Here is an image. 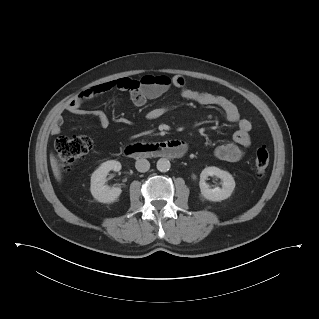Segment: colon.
<instances>
[{
    "label": "colon",
    "mask_w": 319,
    "mask_h": 319,
    "mask_svg": "<svg viewBox=\"0 0 319 319\" xmlns=\"http://www.w3.org/2000/svg\"><path fill=\"white\" fill-rule=\"evenodd\" d=\"M171 84V79L165 75H145L137 80L128 79L121 89L129 94L142 92L154 95L166 90ZM94 140L88 135L61 136L56 140L55 149L58 163L63 171H69L72 166L84 157L93 147ZM270 157L266 149L260 148L254 157L256 175L264 177L269 166Z\"/></svg>",
    "instance_id": "1"
}]
</instances>
